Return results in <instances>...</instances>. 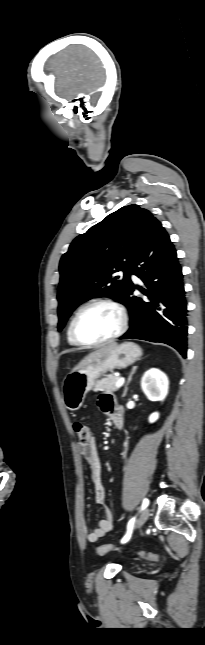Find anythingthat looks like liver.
<instances>
[{
  "instance_id": "1",
  "label": "liver",
  "mask_w": 205,
  "mask_h": 645,
  "mask_svg": "<svg viewBox=\"0 0 205 645\" xmlns=\"http://www.w3.org/2000/svg\"><path fill=\"white\" fill-rule=\"evenodd\" d=\"M117 344L116 343H111L107 346H104L92 353H90L88 356H86L72 371H76L78 369L84 368L85 366L93 363L94 361L108 355L111 353L115 348Z\"/></svg>"
}]
</instances>
